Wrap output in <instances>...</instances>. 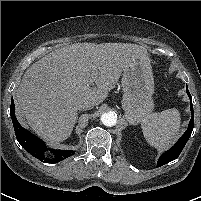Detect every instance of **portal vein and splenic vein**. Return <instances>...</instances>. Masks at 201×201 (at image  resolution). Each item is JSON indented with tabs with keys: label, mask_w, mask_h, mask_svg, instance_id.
I'll list each match as a JSON object with an SVG mask.
<instances>
[{
	"label": "portal vein and splenic vein",
	"mask_w": 201,
	"mask_h": 201,
	"mask_svg": "<svg viewBox=\"0 0 201 201\" xmlns=\"http://www.w3.org/2000/svg\"><path fill=\"white\" fill-rule=\"evenodd\" d=\"M95 70H96V67L94 68V70H93V72H92V75H93V76H95V75H96Z\"/></svg>",
	"instance_id": "18ae733b"
}]
</instances>
